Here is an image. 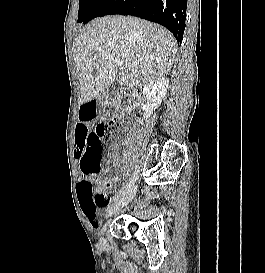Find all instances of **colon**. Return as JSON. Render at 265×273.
<instances>
[{
	"instance_id": "5ec220e1",
	"label": "colon",
	"mask_w": 265,
	"mask_h": 273,
	"mask_svg": "<svg viewBox=\"0 0 265 273\" xmlns=\"http://www.w3.org/2000/svg\"><path fill=\"white\" fill-rule=\"evenodd\" d=\"M119 128L120 121L115 117L108 122L96 125L93 129H76V152L81 158L80 169L83 176L87 177L99 172L102 145L105 141L111 140ZM93 191L92 183L83 178L79 186V193L89 195Z\"/></svg>"
}]
</instances>
